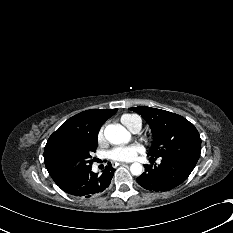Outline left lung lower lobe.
I'll return each mask as SVG.
<instances>
[{
  "label": "left lung lower lobe",
  "mask_w": 233,
  "mask_h": 233,
  "mask_svg": "<svg viewBox=\"0 0 233 233\" xmlns=\"http://www.w3.org/2000/svg\"><path fill=\"white\" fill-rule=\"evenodd\" d=\"M158 166L144 165L145 172L136 180L143 188L154 192L169 191L184 182L195 166L171 156H161Z\"/></svg>",
  "instance_id": "1"
}]
</instances>
